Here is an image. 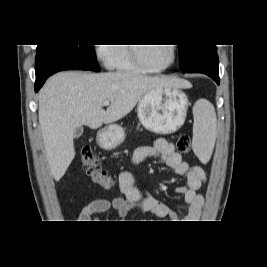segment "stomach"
Masks as SVG:
<instances>
[{
  "mask_svg": "<svg viewBox=\"0 0 267 267\" xmlns=\"http://www.w3.org/2000/svg\"><path fill=\"white\" fill-rule=\"evenodd\" d=\"M188 97L179 88L162 87L147 92L139 101L137 114L141 124L157 134L176 132L185 122ZM124 130L110 125L97 134L99 146L105 150L116 148L124 140Z\"/></svg>",
  "mask_w": 267,
  "mask_h": 267,
  "instance_id": "obj_1",
  "label": "stomach"
}]
</instances>
